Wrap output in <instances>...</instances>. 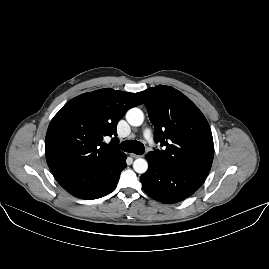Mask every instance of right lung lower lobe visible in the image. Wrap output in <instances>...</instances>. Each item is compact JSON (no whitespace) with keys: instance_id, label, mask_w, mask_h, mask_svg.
Instances as JSON below:
<instances>
[{"instance_id":"right-lung-lower-lobe-1","label":"right lung lower lobe","mask_w":269,"mask_h":269,"mask_svg":"<svg viewBox=\"0 0 269 269\" xmlns=\"http://www.w3.org/2000/svg\"><path fill=\"white\" fill-rule=\"evenodd\" d=\"M126 167L123 152L107 158L97 165L62 169L53 173L57 182L70 194L81 199H97L111 193Z\"/></svg>"}]
</instances>
